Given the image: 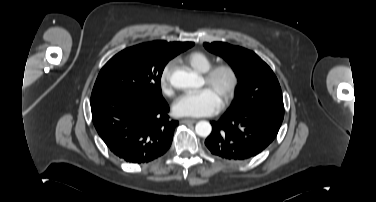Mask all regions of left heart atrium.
<instances>
[{
  "mask_svg": "<svg viewBox=\"0 0 376 202\" xmlns=\"http://www.w3.org/2000/svg\"><path fill=\"white\" fill-rule=\"evenodd\" d=\"M220 104L210 88H202L180 96L173 104V112L181 117L209 116L220 109Z\"/></svg>",
  "mask_w": 376,
  "mask_h": 202,
  "instance_id": "obj_1",
  "label": "left heart atrium"
}]
</instances>
